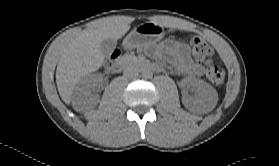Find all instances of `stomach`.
<instances>
[{"instance_id":"1","label":"stomach","mask_w":279,"mask_h":166,"mask_svg":"<svg viewBox=\"0 0 279 166\" xmlns=\"http://www.w3.org/2000/svg\"><path fill=\"white\" fill-rule=\"evenodd\" d=\"M165 36L164 28L155 23H144L135 27L123 40L125 49L156 46Z\"/></svg>"}]
</instances>
